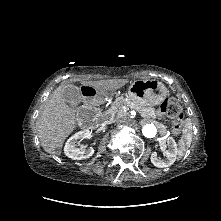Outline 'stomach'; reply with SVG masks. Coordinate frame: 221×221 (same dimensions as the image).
<instances>
[{
	"mask_svg": "<svg viewBox=\"0 0 221 221\" xmlns=\"http://www.w3.org/2000/svg\"><path fill=\"white\" fill-rule=\"evenodd\" d=\"M167 95V88L157 80H135L128 89V98L139 106L160 104Z\"/></svg>",
	"mask_w": 221,
	"mask_h": 221,
	"instance_id": "1",
	"label": "stomach"
}]
</instances>
